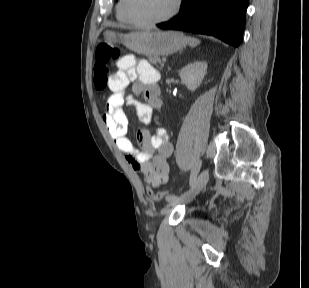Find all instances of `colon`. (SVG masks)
Wrapping results in <instances>:
<instances>
[{
	"mask_svg": "<svg viewBox=\"0 0 309 288\" xmlns=\"http://www.w3.org/2000/svg\"><path fill=\"white\" fill-rule=\"evenodd\" d=\"M120 51L108 42L100 43L96 48V63L93 70V85L98 91L105 90L109 83L110 65L119 58ZM147 191L154 201H162L172 194L171 190L157 192L149 186Z\"/></svg>",
	"mask_w": 309,
	"mask_h": 288,
	"instance_id": "1",
	"label": "colon"
}]
</instances>
